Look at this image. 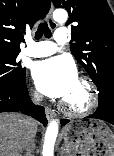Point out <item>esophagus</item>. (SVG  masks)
<instances>
[{"mask_svg": "<svg viewBox=\"0 0 114 156\" xmlns=\"http://www.w3.org/2000/svg\"><path fill=\"white\" fill-rule=\"evenodd\" d=\"M52 12H53V6L51 5V8L47 14V22L51 29H55L57 27V24L52 18ZM45 113H46V117L49 121L55 117V112L48 107H46Z\"/></svg>", "mask_w": 114, "mask_h": 156, "instance_id": "34e87169", "label": "esophagus"}]
</instances>
